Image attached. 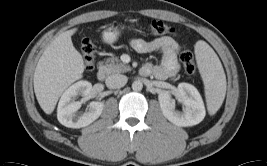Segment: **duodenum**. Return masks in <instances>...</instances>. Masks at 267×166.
I'll use <instances>...</instances> for the list:
<instances>
[{"label":"duodenum","instance_id":"duodenum-1","mask_svg":"<svg viewBox=\"0 0 267 166\" xmlns=\"http://www.w3.org/2000/svg\"><path fill=\"white\" fill-rule=\"evenodd\" d=\"M96 77L99 81H103L106 77V69L104 67H100L97 70Z\"/></svg>","mask_w":267,"mask_h":166}]
</instances>
